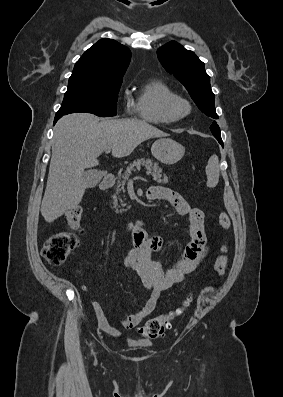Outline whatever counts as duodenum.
<instances>
[{
  "mask_svg": "<svg viewBox=\"0 0 283 397\" xmlns=\"http://www.w3.org/2000/svg\"><path fill=\"white\" fill-rule=\"evenodd\" d=\"M115 183V178L113 175H107L103 178V180L100 183V188L104 191L109 190L113 187ZM141 226V222H135V223H129L128 227L130 229H136Z\"/></svg>",
  "mask_w": 283,
  "mask_h": 397,
  "instance_id": "410a0bca",
  "label": "duodenum"
}]
</instances>
